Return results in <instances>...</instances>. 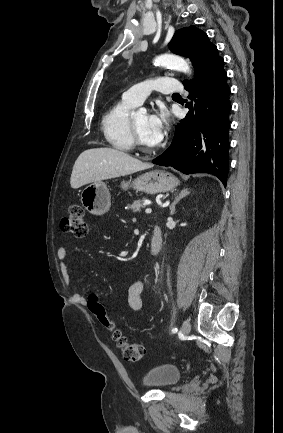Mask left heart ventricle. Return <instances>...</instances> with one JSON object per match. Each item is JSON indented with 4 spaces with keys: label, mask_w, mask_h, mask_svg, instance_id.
<instances>
[{
    "label": "left heart ventricle",
    "mask_w": 283,
    "mask_h": 433,
    "mask_svg": "<svg viewBox=\"0 0 283 433\" xmlns=\"http://www.w3.org/2000/svg\"><path fill=\"white\" fill-rule=\"evenodd\" d=\"M148 118H149V116L147 114H144L135 120L136 128H137V131L139 133L141 140H142V136H143V134L146 130V127H147ZM143 148L148 149L144 143H143Z\"/></svg>",
    "instance_id": "obj_1"
}]
</instances>
